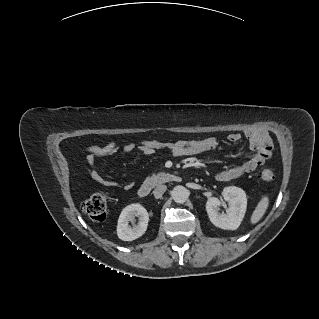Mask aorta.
Returning a JSON list of instances; mask_svg holds the SVG:
<instances>
[{
	"label": "aorta",
	"mask_w": 319,
	"mask_h": 319,
	"mask_svg": "<svg viewBox=\"0 0 319 319\" xmlns=\"http://www.w3.org/2000/svg\"><path fill=\"white\" fill-rule=\"evenodd\" d=\"M172 198L178 204H183L189 197V191L181 185L175 186L172 190Z\"/></svg>",
	"instance_id": "obj_1"
}]
</instances>
